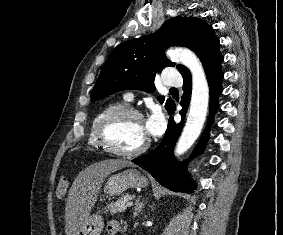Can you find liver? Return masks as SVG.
Masks as SVG:
<instances>
[{
  "label": "liver",
  "mask_w": 283,
  "mask_h": 235,
  "mask_svg": "<svg viewBox=\"0 0 283 235\" xmlns=\"http://www.w3.org/2000/svg\"><path fill=\"white\" fill-rule=\"evenodd\" d=\"M133 166L127 160H104L82 170L69 191L65 207L66 235H79L97 199L104 179L112 172Z\"/></svg>",
  "instance_id": "6515ba94"
}]
</instances>
